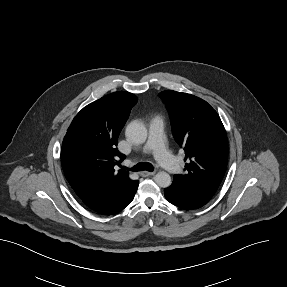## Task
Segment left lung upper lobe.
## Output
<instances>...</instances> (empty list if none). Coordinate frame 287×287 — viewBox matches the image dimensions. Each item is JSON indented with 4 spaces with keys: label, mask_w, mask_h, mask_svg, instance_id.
I'll list each match as a JSON object with an SVG mask.
<instances>
[{
    "label": "left lung upper lobe",
    "mask_w": 287,
    "mask_h": 287,
    "mask_svg": "<svg viewBox=\"0 0 287 287\" xmlns=\"http://www.w3.org/2000/svg\"><path fill=\"white\" fill-rule=\"evenodd\" d=\"M160 97L168 108L173 136L186 154V174L173 178L215 194L228 160L227 135L219 115L206 101L187 93L168 90Z\"/></svg>",
    "instance_id": "obj_1"
}]
</instances>
